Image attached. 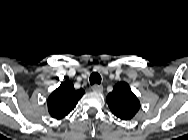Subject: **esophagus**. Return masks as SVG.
<instances>
[{"instance_id":"34e87169","label":"esophagus","mask_w":188,"mask_h":140,"mask_svg":"<svg viewBox=\"0 0 188 140\" xmlns=\"http://www.w3.org/2000/svg\"><path fill=\"white\" fill-rule=\"evenodd\" d=\"M92 90L96 93H101L103 91V86L99 84H94Z\"/></svg>"}]
</instances>
